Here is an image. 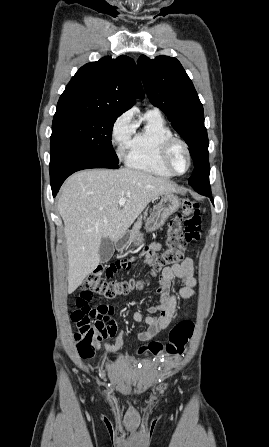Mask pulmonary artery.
Listing matches in <instances>:
<instances>
[{"label":"pulmonary artery","mask_w":269,"mask_h":447,"mask_svg":"<svg viewBox=\"0 0 269 447\" xmlns=\"http://www.w3.org/2000/svg\"><path fill=\"white\" fill-rule=\"evenodd\" d=\"M153 111L160 113V111L157 108L152 109Z\"/></svg>","instance_id":"e3ab8cb5"}]
</instances>
